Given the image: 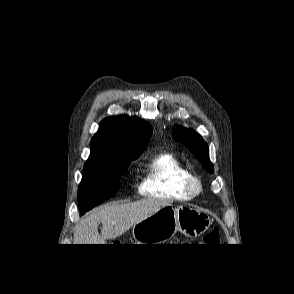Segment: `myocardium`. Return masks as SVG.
I'll return each mask as SVG.
<instances>
[{
  "label": "myocardium",
  "instance_id": "myocardium-1",
  "mask_svg": "<svg viewBox=\"0 0 294 294\" xmlns=\"http://www.w3.org/2000/svg\"><path fill=\"white\" fill-rule=\"evenodd\" d=\"M184 187L190 196H196L201 193L203 182L199 176L189 173L185 178Z\"/></svg>",
  "mask_w": 294,
  "mask_h": 294
}]
</instances>
